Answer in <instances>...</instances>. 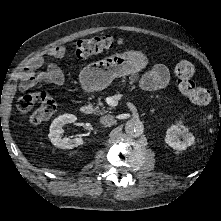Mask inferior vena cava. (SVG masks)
<instances>
[{
	"instance_id": "inferior-vena-cava-1",
	"label": "inferior vena cava",
	"mask_w": 221,
	"mask_h": 221,
	"mask_svg": "<svg viewBox=\"0 0 221 221\" xmlns=\"http://www.w3.org/2000/svg\"><path fill=\"white\" fill-rule=\"evenodd\" d=\"M113 116L112 115H105L100 117V123L102 124H109L113 121Z\"/></svg>"
}]
</instances>
